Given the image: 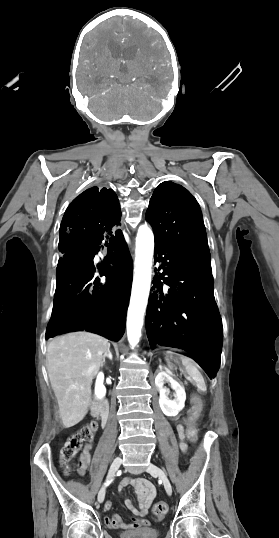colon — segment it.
Segmentation results:
<instances>
[{
	"instance_id": "colon-1",
	"label": "colon",
	"mask_w": 279,
	"mask_h": 538,
	"mask_svg": "<svg viewBox=\"0 0 279 538\" xmlns=\"http://www.w3.org/2000/svg\"><path fill=\"white\" fill-rule=\"evenodd\" d=\"M201 411L202 401L198 396H195L192 400V407L189 412L186 430L188 438L195 443L198 442L199 436L194 423L199 417ZM97 429V422L92 421L69 437L61 449V461L64 465L68 466L82 446L90 443L93 440ZM152 511L156 519H162L168 512V505L164 501H159L154 504Z\"/></svg>"
}]
</instances>
